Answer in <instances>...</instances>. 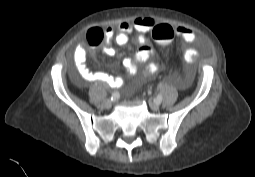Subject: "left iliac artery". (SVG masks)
<instances>
[{
	"mask_svg": "<svg viewBox=\"0 0 255 177\" xmlns=\"http://www.w3.org/2000/svg\"><path fill=\"white\" fill-rule=\"evenodd\" d=\"M156 102L159 103V104L162 102V95L161 94L157 95Z\"/></svg>",
	"mask_w": 255,
	"mask_h": 177,
	"instance_id": "left-iliac-artery-1",
	"label": "left iliac artery"
}]
</instances>
